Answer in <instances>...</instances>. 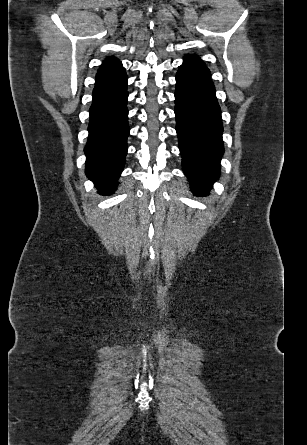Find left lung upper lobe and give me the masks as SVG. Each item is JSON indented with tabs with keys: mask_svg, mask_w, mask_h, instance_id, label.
Listing matches in <instances>:
<instances>
[{
	"mask_svg": "<svg viewBox=\"0 0 307 445\" xmlns=\"http://www.w3.org/2000/svg\"><path fill=\"white\" fill-rule=\"evenodd\" d=\"M186 56L191 57V55H186ZM194 57H195V56H194Z\"/></svg>",
	"mask_w": 307,
	"mask_h": 445,
	"instance_id": "5c2ea615",
	"label": "left lung upper lobe"
}]
</instances>
